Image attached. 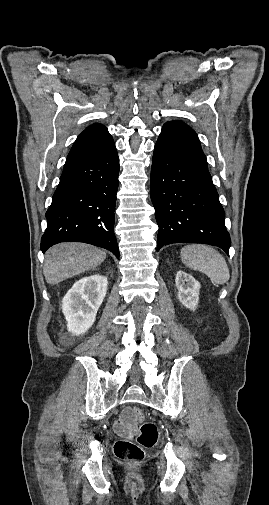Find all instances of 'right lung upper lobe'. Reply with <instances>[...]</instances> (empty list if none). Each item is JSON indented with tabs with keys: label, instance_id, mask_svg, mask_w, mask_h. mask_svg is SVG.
Masks as SVG:
<instances>
[{
	"label": "right lung upper lobe",
	"instance_id": "obj_1",
	"mask_svg": "<svg viewBox=\"0 0 269 505\" xmlns=\"http://www.w3.org/2000/svg\"><path fill=\"white\" fill-rule=\"evenodd\" d=\"M112 142V136L104 125L93 124L78 136L66 162L92 155L104 149Z\"/></svg>",
	"mask_w": 269,
	"mask_h": 505
}]
</instances>
